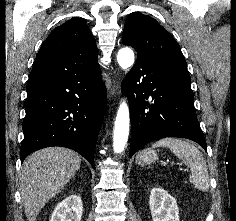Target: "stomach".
Segmentation results:
<instances>
[{"mask_svg":"<svg viewBox=\"0 0 236 221\" xmlns=\"http://www.w3.org/2000/svg\"><path fill=\"white\" fill-rule=\"evenodd\" d=\"M158 159L157 153L152 149L142 150L136 158V162L141 165H150Z\"/></svg>","mask_w":236,"mask_h":221,"instance_id":"stomach-1","label":"stomach"}]
</instances>
